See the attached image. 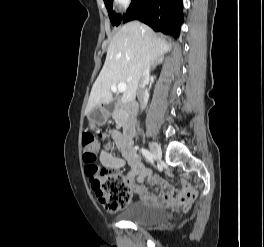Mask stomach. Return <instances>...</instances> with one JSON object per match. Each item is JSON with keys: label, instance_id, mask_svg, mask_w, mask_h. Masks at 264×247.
I'll return each instance as SVG.
<instances>
[{"label": "stomach", "instance_id": "0dacf381", "mask_svg": "<svg viewBox=\"0 0 264 247\" xmlns=\"http://www.w3.org/2000/svg\"><path fill=\"white\" fill-rule=\"evenodd\" d=\"M108 117L107 110L101 105H97L88 115L89 121L94 125L103 124Z\"/></svg>", "mask_w": 264, "mask_h": 247}]
</instances>
